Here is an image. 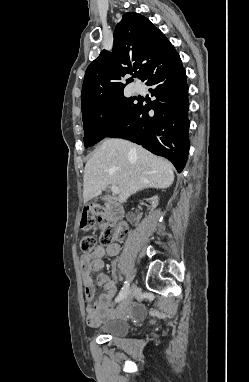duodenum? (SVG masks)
<instances>
[{
    "label": "duodenum",
    "instance_id": "obj_1",
    "mask_svg": "<svg viewBox=\"0 0 249 382\" xmlns=\"http://www.w3.org/2000/svg\"><path fill=\"white\" fill-rule=\"evenodd\" d=\"M107 210H108V215L111 218L114 219H120L122 217V209L120 205L114 201V200H109L107 203Z\"/></svg>",
    "mask_w": 249,
    "mask_h": 382
}]
</instances>
